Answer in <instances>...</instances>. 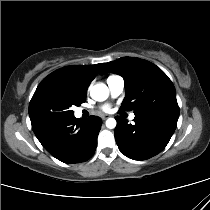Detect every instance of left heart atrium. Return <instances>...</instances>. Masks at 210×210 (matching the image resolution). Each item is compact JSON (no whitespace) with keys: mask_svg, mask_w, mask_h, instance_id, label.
<instances>
[{"mask_svg":"<svg viewBox=\"0 0 210 210\" xmlns=\"http://www.w3.org/2000/svg\"><path fill=\"white\" fill-rule=\"evenodd\" d=\"M103 110H104V111H109V110H110V106H109V105L103 106Z\"/></svg>","mask_w":210,"mask_h":210,"instance_id":"left-heart-atrium-1","label":"left heart atrium"}]
</instances>
